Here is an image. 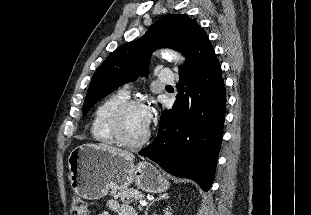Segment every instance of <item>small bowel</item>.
Here are the masks:
<instances>
[{
  "instance_id": "1",
  "label": "small bowel",
  "mask_w": 311,
  "mask_h": 215,
  "mask_svg": "<svg viewBox=\"0 0 311 215\" xmlns=\"http://www.w3.org/2000/svg\"><path fill=\"white\" fill-rule=\"evenodd\" d=\"M137 215L135 210L126 204H120L116 200H109L106 205V209L97 215Z\"/></svg>"
}]
</instances>
